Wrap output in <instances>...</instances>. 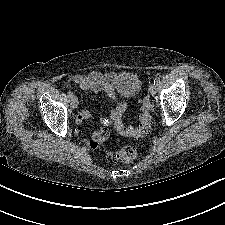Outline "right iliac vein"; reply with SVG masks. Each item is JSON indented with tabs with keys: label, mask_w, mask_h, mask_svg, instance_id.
<instances>
[{
	"label": "right iliac vein",
	"mask_w": 225,
	"mask_h": 225,
	"mask_svg": "<svg viewBox=\"0 0 225 225\" xmlns=\"http://www.w3.org/2000/svg\"><path fill=\"white\" fill-rule=\"evenodd\" d=\"M69 100H70L71 107L73 109H76L77 106H78V99H77V97L75 95H73V96L70 97Z\"/></svg>",
	"instance_id": "63e3f726"
}]
</instances>
